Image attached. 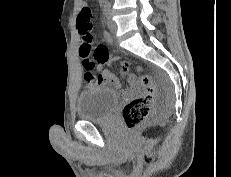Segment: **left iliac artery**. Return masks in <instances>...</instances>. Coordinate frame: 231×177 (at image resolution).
<instances>
[{
  "mask_svg": "<svg viewBox=\"0 0 231 177\" xmlns=\"http://www.w3.org/2000/svg\"><path fill=\"white\" fill-rule=\"evenodd\" d=\"M110 10H111V5L109 3H104L103 5V13L105 15V17L108 16V14L110 13Z\"/></svg>",
  "mask_w": 231,
  "mask_h": 177,
  "instance_id": "44dca946",
  "label": "left iliac artery"
}]
</instances>
